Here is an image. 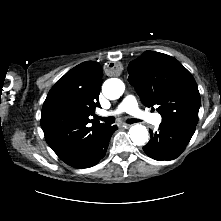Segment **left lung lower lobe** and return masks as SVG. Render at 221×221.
Listing matches in <instances>:
<instances>
[{
	"label": "left lung lower lobe",
	"instance_id": "1",
	"mask_svg": "<svg viewBox=\"0 0 221 221\" xmlns=\"http://www.w3.org/2000/svg\"><path fill=\"white\" fill-rule=\"evenodd\" d=\"M196 125L194 122H161L158 132L150 130L151 139L143 150L155 160H173L189 143Z\"/></svg>",
	"mask_w": 221,
	"mask_h": 221
}]
</instances>
